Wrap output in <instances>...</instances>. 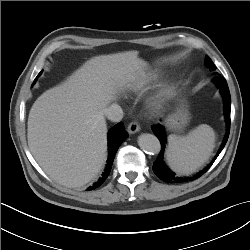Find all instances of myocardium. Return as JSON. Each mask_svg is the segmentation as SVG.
<instances>
[{"instance_id":"f54148a6","label":"myocardium","mask_w":250,"mask_h":250,"mask_svg":"<svg viewBox=\"0 0 250 250\" xmlns=\"http://www.w3.org/2000/svg\"><path fill=\"white\" fill-rule=\"evenodd\" d=\"M170 95V90L167 87H164L160 90V92L158 93V95L156 96V100L155 103L156 104H160L162 103L164 100H166Z\"/></svg>"}]
</instances>
